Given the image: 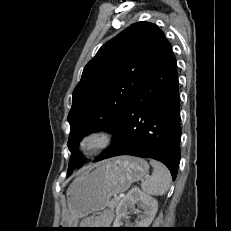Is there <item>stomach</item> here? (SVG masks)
Masks as SVG:
<instances>
[{"label": "stomach", "instance_id": "stomach-1", "mask_svg": "<svg viewBox=\"0 0 231 231\" xmlns=\"http://www.w3.org/2000/svg\"><path fill=\"white\" fill-rule=\"evenodd\" d=\"M148 170L146 160L133 156H118L97 163L71 184L68 190L71 215L65 223L74 225L78 218H86L93 212L105 209L113 195L126 191Z\"/></svg>", "mask_w": 231, "mask_h": 231}]
</instances>
